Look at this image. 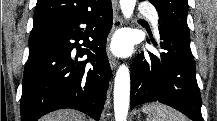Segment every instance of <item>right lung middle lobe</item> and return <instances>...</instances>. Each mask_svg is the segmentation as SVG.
Returning a JSON list of instances; mask_svg holds the SVG:
<instances>
[{
    "instance_id": "right-lung-middle-lobe-1",
    "label": "right lung middle lobe",
    "mask_w": 217,
    "mask_h": 121,
    "mask_svg": "<svg viewBox=\"0 0 217 121\" xmlns=\"http://www.w3.org/2000/svg\"><path fill=\"white\" fill-rule=\"evenodd\" d=\"M47 23H51V22H45V23H39V24H33V27H37V26L44 25V24H47Z\"/></svg>"
}]
</instances>
